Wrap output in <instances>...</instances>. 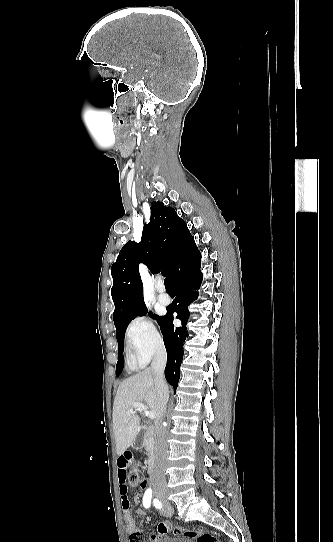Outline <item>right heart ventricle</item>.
I'll use <instances>...</instances> for the list:
<instances>
[{
    "label": "right heart ventricle",
    "instance_id": "obj_1",
    "mask_svg": "<svg viewBox=\"0 0 333 542\" xmlns=\"http://www.w3.org/2000/svg\"><path fill=\"white\" fill-rule=\"evenodd\" d=\"M126 362L133 370L143 368L148 363V358L145 357L138 349L128 347L126 350Z\"/></svg>",
    "mask_w": 333,
    "mask_h": 542
}]
</instances>
